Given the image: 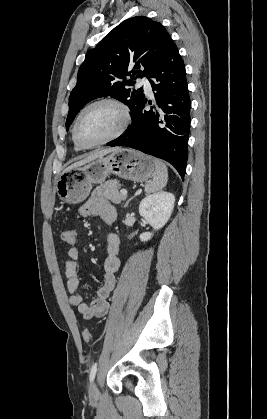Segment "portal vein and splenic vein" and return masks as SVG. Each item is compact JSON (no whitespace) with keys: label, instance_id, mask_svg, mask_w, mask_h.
<instances>
[{"label":"portal vein and splenic vein","instance_id":"1","mask_svg":"<svg viewBox=\"0 0 267 419\" xmlns=\"http://www.w3.org/2000/svg\"><path fill=\"white\" fill-rule=\"evenodd\" d=\"M120 193H121L123 196H127V190H126V189H121V190H120Z\"/></svg>","mask_w":267,"mask_h":419}]
</instances>
